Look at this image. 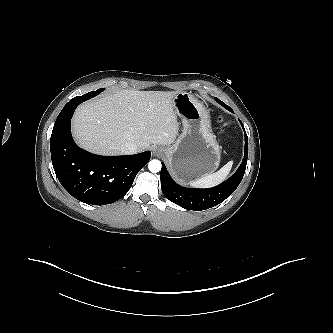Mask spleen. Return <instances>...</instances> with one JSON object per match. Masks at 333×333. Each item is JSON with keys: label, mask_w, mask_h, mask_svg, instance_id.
Returning a JSON list of instances; mask_svg holds the SVG:
<instances>
[{"label": "spleen", "mask_w": 333, "mask_h": 333, "mask_svg": "<svg viewBox=\"0 0 333 333\" xmlns=\"http://www.w3.org/2000/svg\"><path fill=\"white\" fill-rule=\"evenodd\" d=\"M233 161L228 162L226 165H224L220 170L213 174L205 175L201 178H198L196 180H192L189 182V184L193 187L197 188H210L214 187L221 182H223L226 177L228 176L230 170L232 169Z\"/></svg>", "instance_id": "spleen-1"}]
</instances>
